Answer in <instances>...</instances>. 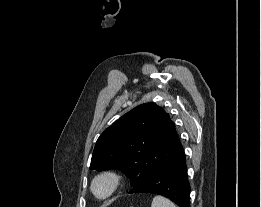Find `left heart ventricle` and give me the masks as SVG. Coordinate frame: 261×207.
<instances>
[{
  "label": "left heart ventricle",
  "mask_w": 261,
  "mask_h": 207,
  "mask_svg": "<svg viewBox=\"0 0 261 207\" xmlns=\"http://www.w3.org/2000/svg\"><path fill=\"white\" fill-rule=\"evenodd\" d=\"M95 189L98 194H103L106 191V185L102 182L98 183Z\"/></svg>",
  "instance_id": "obj_1"
}]
</instances>
